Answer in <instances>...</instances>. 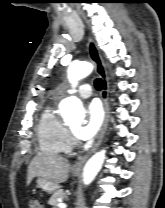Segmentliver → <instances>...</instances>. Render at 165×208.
I'll list each match as a JSON object with an SVG mask.
<instances>
[{
    "instance_id": "obj_1",
    "label": "liver",
    "mask_w": 165,
    "mask_h": 208,
    "mask_svg": "<svg viewBox=\"0 0 165 208\" xmlns=\"http://www.w3.org/2000/svg\"><path fill=\"white\" fill-rule=\"evenodd\" d=\"M70 163L64 157L51 154H37L28 166L27 184L36 176L51 180L57 185L68 179Z\"/></svg>"
}]
</instances>
